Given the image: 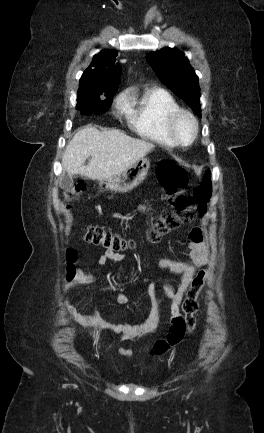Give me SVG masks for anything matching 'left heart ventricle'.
<instances>
[{
	"label": "left heart ventricle",
	"instance_id": "left-heart-ventricle-1",
	"mask_svg": "<svg viewBox=\"0 0 264 433\" xmlns=\"http://www.w3.org/2000/svg\"><path fill=\"white\" fill-rule=\"evenodd\" d=\"M175 131L181 141L188 142L193 135V124L188 118L182 117L177 121Z\"/></svg>",
	"mask_w": 264,
	"mask_h": 433
}]
</instances>
